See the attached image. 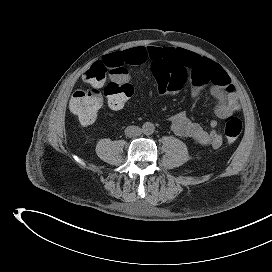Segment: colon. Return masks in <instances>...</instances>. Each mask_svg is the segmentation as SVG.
<instances>
[{"label":"colon","instance_id":"obj_1","mask_svg":"<svg viewBox=\"0 0 272 272\" xmlns=\"http://www.w3.org/2000/svg\"><path fill=\"white\" fill-rule=\"evenodd\" d=\"M127 70L122 66L109 68L99 62L93 64L83 75L87 88L75 91L70 100V110L84 125L93 124L103 105L104 98L113 109L122 108L133 95V86L127 81ZM107 74L116 78L107 81ZM243 123L237 116L224 121L227 144H233L242 132Z\"/></svg>","mask_w":272,"mask_h":272}]
</instances>
